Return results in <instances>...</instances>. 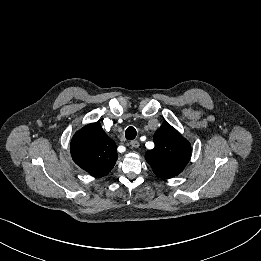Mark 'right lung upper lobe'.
Wrapping results in <instances>:
<instances>
[{
  "label": "right lung upper lobe",
  "mask_w": 261,
  "mask_h": 261,
  "mask_svg": "<svg viewBox=\"0 0 261 261\" xmlns=\"http://www.w3.org/2000/svg\"><path fill=\"white\" fill-rule=\"evenodd\" d=\"M70 149L74 162L98 178L107 175L118 158L116 144L103 131L99 121L77 131L71 140Z\"/></svg>",
  "instance_id": "1"
}]
</instances>
